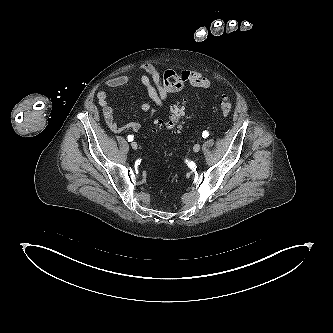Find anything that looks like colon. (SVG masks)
<instances>
[{
  "label": "colon",
  "mask_w": 333,
  "mask_h": 333,
  "mask_svg": "<svg viewBox=\"0 0 333 333\" xmlns=\"http://www.w3.org/2000/svg\"><path fill=\"white\" fill-rule=\"evenodd\" d=\"M219 108L223 115H227L232 110V104L226 97H223L220 101ZM185 117L186 114L184 103L174 105L171 108L170 118L165 122L156 121L153 125V131H157L164 127L173 131L174 133L179 132Z\"/></svg>",
  "instance_id": "5ec220e1"
}]
</instances>
